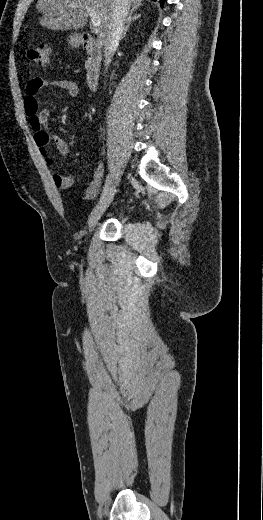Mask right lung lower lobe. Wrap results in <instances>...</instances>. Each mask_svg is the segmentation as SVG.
<instances>
[{
	"mask_svg": "<svg viewBox=\"0 0 263 520\" xmlns=\"http://www.w3.org/2000/svg\"><path fill=\"white\" fill-rule=\"evenodd\" d=\"M153 1H156V0H153ZM160 2H161V6H163L164 0H160Z\"/></svg>",
	"mask_w": 263,
	"mask_h": 520,
	"instance_id": "1",
	"label": "right lung lower lobe"
}]
</instances>
